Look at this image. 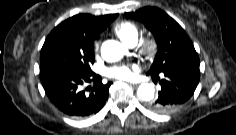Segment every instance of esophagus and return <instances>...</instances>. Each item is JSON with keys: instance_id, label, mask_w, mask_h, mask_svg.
<instances>
[{"instance_id": "esophagus-1", "label": "esophagus", "mask_w": 236, "mask_h": 135, "mask_svg": "<svg viewBox=\"0 0 236 135\" xmlns=\"http://www.w3.org/2000/svg\"><path fill=\"white\" fill-rule=\"evenodd\" d=\"M131 86H133V87H138V83H133V82H128Z\"/></svg>"}]
</instances>
